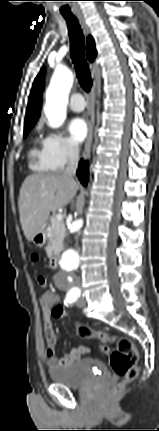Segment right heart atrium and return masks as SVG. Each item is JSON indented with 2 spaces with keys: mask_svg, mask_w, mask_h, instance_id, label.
I'll return each mask as SVG.
<instances>
[{
  "mask_svg": "<svg viewBox=\"0 0 159 431\" xmlns=\"http://www.w3.org/2000/svg\"><path fill=\"white\" fill-rule=\"evenodd\" d=\"M42 151L46 164L52 171L62 170L78 156L77 148L69 139L51 131L42 139Z\"/></svg>",
  "mask_w": 159,
  "mask_h": 431,
  "instance_id": "obj_1",
  "label": "right heart atrium"
}]
</instances>
